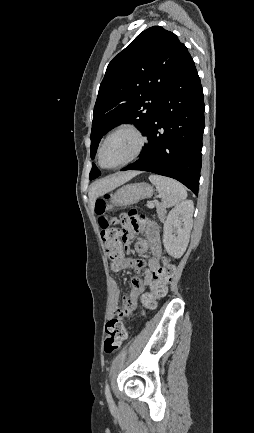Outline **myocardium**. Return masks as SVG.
Wrapping results in <instances>:
<instances>
[{
	"mask_svg": "<svg viewBox=\"0 0 254 433\" xmlns=\"http://www.w3.org/2000/svg\"><path fill=\"white\" fill-rule=\"evenodd\" d=\"M120 132H130L133 135H135L138 139V146H137L135 152L124 162H122L118 165H115V166H105L102 163L103 147L110 137H112L113 135L120 133ZM146 143H147L146 136L136 125H134L132 123L122 124V125L118 126L117 128H115L114 130H112L110 133H108L105 136V138L103 139V141L101 142L100 147L98 149V163L102 168L109 169V170L117 169V168H121L123 166H126V165L130 164L131 162L135 161L142 154V152L146 146Z\"/></svg>",
	"mask_w": 254,
	"mask_h": 433,
	"instance_id": "myocardium-1",
	"label": "myocardium"
}]
</instances>
